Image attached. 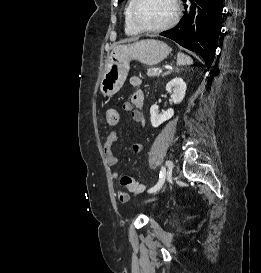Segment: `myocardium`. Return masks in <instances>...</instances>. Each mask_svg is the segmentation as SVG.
<instances>
[{
	"label": "myocardium",
	"instance_id": "obj_1",
	"mask_svg": "<svg viewBox=\"0 0 261 273\" xmlns=\"http://www.w3.org/2000/svg\"><path fill=\"white\" fill-rule=\"evenodd\" d=\"M138 2H139V0H132V4H131L130 10H129L130 23L138 32H144V33L164 32V31L172 28L173 26H175L179 20V17H180L179 1L178 0H171V2L173 4L174 12H173L172 18L167 23H165L161 26H157V27H149V28L142 27L135 21V18H134L135 9L137 7Z\"/></svg>",
	"mask_w": 261,
	"mask_h": 273
}]
</instances>
